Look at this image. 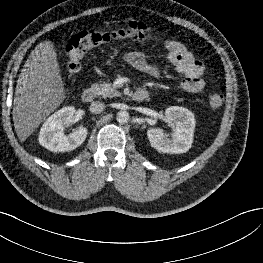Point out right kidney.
<instances>
[{
	"label": "right kidney",
	"instance_id": "1",
	"mask_svg": "<svg viewBox=\"0 0 263 263\" xmlns=\"http://www.w3.org/2000/svg\"><path fill=\"white\" fill-rule=\"evenodd\" d=\"M75 108L63 107L52 114L42 125L39 133V143L53 152H68L79 147L87 136V129L82 127L65 135L63 130L74 117Z\"/></svg>",
	"mask_w": 263,
	"mask_h": 263
}]
</instances>
